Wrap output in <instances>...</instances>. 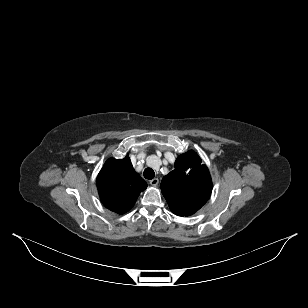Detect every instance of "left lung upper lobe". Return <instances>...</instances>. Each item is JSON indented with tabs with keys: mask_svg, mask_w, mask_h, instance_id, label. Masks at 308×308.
<instances>
[{
	"mask_svg": "<svg viewBox=\"0 0 308 308\" xmlns=\"http://www.w3.org/2000/svg\"><path fill=\"white\" fill-rule=\"evenodd\" d=\"M161 191L174 214L192 215L210 197L212 180L208 168L194 151L181 154L175 169L163 177Z\"/></svg>",
	"mask_w": 308,
	"mask_h": 308,
	"instance_id": "left-lung-upper-lobe-1",
	"label": "left lung upper lobe"
}]
</instances>
